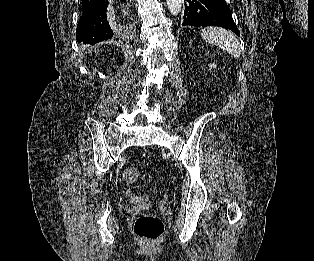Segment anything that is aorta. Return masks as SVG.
<instances>
[{
	"mask_svg": "<svg viewBox=\"0 0 314 261\" xmlns=\"http://www.w3.org/2000/svg\"><path fill=\"white\" fill-rule=\"evenodd\" d=\"M168 9L172 15H178L181 11L182 0H166Z\"/></svg>",
	"mask_w": 314,
	"mask_h": 261,
	"instance_id": "762f6f07",
	"label": "aorta"
}]
</instances>
